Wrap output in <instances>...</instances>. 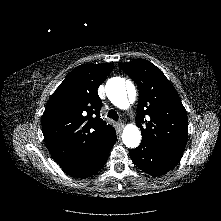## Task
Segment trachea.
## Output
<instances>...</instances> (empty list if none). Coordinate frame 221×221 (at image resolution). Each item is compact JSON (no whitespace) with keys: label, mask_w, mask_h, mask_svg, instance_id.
Masks as SVG:
<instances>
[{"label":"trachea","mask_w":221,"mask_h":221,"mask_svg":"<svg viewBox=\"0 0 221 221\" xmlns=\"http://www.w3.org/2000/svg\"><path fill=\"white\" fill-rule=\"evenodd\" d=\"M108 116H109L110 118H112L113 120H115V121H117L118 118H119V116H118V114H117V112H116L115 110H110V111L108 112Z\"/></svg>","instance_id":"3493384b"}]
</instances>
